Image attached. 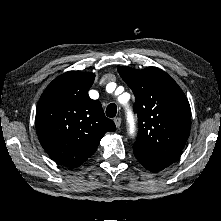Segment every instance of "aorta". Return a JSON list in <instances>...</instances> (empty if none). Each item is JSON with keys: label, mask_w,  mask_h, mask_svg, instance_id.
Listing matches in <instances>:
<instances>
[{"label": "aorta", "mask_w": 221, "mask_h": 221, "mask_svg": "<svg viewBox=\"0 0 221 221\" xmlns=\"http://www.w3.org/2000/svg\"><path fill=\"white\" fill-rule=\"evenodd\" d=\"M129 133H130V135H133L134 130H133V129H130V130H129Z\"/></svg>", "instance_id": "obj_1"}]
</instances>
